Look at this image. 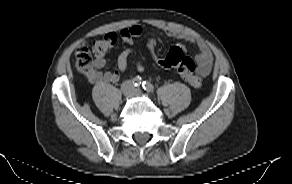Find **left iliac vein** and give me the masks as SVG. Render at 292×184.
<instances>
[{
  "mask_svg": "<svg viewBox=\"0 0 292 184\" xmlns=\"http://www.w3.org/2000/svg\"><path fill=\"white\" fill-rule=\"evenodd\" d=\"M134 94L137 95V96L141 95V90L140 89H136L134 91Z\"/></svg>",
  "mask_w": 292,
  "mask_h": 184,
  "instance_id": "left-iliac-vein-1",
  "label": "left iliac vein"
}]
</instances>
